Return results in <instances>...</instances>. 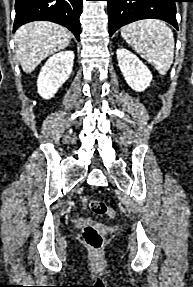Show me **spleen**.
Wrapping results in <instances>:
<instances>
[{
	"label": "spleen",
	"mask_w": 193,
	"mask_h": 287,
	"mask_svg": "<svg viewBox=\"0 0 193 287\" xmlns=\"http://www.w3.org/2000/svg\"><path fill=\"white\" fill-rule=\"evenodd\" d=\"M121 35L160 75L167 73L173 63L175 41L165 22L157 19L137 21L124 26Z\"/></svg>",
	"instance_id": "obj_1"
}]
</instances>
